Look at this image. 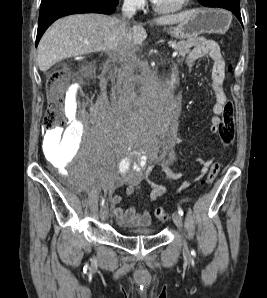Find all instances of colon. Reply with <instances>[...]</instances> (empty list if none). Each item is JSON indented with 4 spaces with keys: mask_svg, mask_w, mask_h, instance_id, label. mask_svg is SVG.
<instances>
[{
    "mask_svg": "<svg viewBox=\"0 0 267 298\" xmlns=\"http://www.w3.org/2000/svg\"><path fill=\"white\" fill-rule=\"evenodd\" d=\"M68 75L65 71L59 70L51 73L47 79L48 90V108L44 117V126L47 130H54L66 125V118L63 112V95L67 88ZM235 119L233 108L228 105L222 116L219 129V138L221 144L226 147L232 143L234 137ZM220 170V165L215 163L212 165L205 183L210 185L214 182ZM155 216L160 221H167L170 214L162 207L155 210Z\"/></svg>",
    "mask_w": 267,
    "mask_h": 298,
    "instance_id": "5ec220e1",
    "label": "colon"
}]
</instances>
